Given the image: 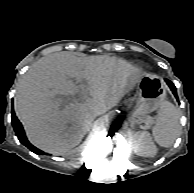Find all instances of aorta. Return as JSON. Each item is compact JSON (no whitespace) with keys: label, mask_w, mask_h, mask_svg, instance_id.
I'll return each instance as SVG.
<instances>
[{"label":"aorta","mask_w":194,"mask_h":193,"mask_svg":"<svg viewBox=\"0 0 194 193\" xmlns=\"http://www.w3.org/2000/svg\"><path fill=\"white\" fill-rule=\"evenodd\" d=\"M107 121L109 123L111 122L117 123L120 121V116L116 112H111L107 115Z\"/></svg>","instance_id":"762f6f07"}]
</instances>
